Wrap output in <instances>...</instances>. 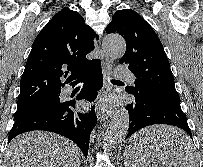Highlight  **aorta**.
<instances>
[{
	"label": "aorta",
	"instance_id": "aorta-1",
	"mask_svg": "<svg viewBox=\"0 0 203 167\" xmlns=\"http://www.w3.org/2000/svg\"><path fill=\"white\" fill-rule=\"evenodd\" d=\"M103 48L110 57L120 59L125 54L126 43L119 35H107L103 41ZM129 123L130 116L125 108H121L114 114L104 135V151H110L124 140L128 133Z\"/></svg>",
	"mask_w": 203,
	"mask_h": 167
}]
</instances>
